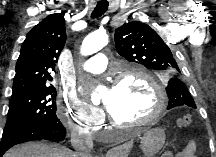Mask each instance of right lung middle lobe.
<instances>
[{
  "label": "right lung middle lobe",
  "mask_w": 216,
  "mask_h": 157,
  "mask_svg": "<svg viewBox=\"0 0 216 157\" xmlns=\"http://www.w3.org/2000/svg\"><path fill=\"white\" fill-rule=\"evenodd\" d=\"M56 90L42 87L24 90L12 95L3 135L41 123H54L56 116Z\"/></svg>",
  "instance_id": "right-lung-middle-lobe-1"
}]
</instances>
